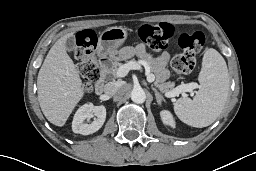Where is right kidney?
<instances>
[{"mask_svg": "<svg viewBox=\"0 0 256 171\" xmlns=\"http://www.w3.org/2000/svg\"><path fill=\"white\" fill-rule=\"evenodd\" d=\"M96 117L91 124L84 123L85 119ZM106 119V108L103 105L94 106L92 103L81 106L74 115L72 130L82 135L93 134L98 131Z\"/></svg>", "mask_w": 256, "mask_h": 171, "instance_id": "obj_1", "label": "right kidney"}]
</instances>
